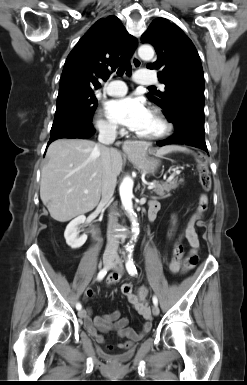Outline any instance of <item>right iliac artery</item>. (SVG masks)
I'll list each match as a JSON object with an SVG mask.
<instances>
[{
	"label": "right iliac artery",
	"mask_w": 247,
	"mask_h": 385,
	"mask_svg": "<svg viewBox=\"0 0 247 385\" xmlns=\"http://www.w3.org/2000/svg\"><path fill=\"white\" fill-rule=\"evenodd\" d=\"M107 271H108L107 268L102 269V270L98 273L97 279H98L99 281L102 280V279L105 277V275L107 274ZM81 308H82V305L78 302V303L76 304V309H77V310H81Z\"/></svg>",
	"instance_id": "obj_1"
}]
</instances>
